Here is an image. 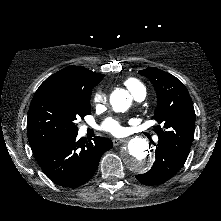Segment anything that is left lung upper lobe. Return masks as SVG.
Returning <instances> with one entry per match:
<instances>
[{
	"instance_id": "obj_1",
	"label": "left lung upper lobe",
	"mask_w": 221,
	"mask_h": 221,
	"mask_svg": "<svg viewBox=\"0 0 221 221\" xmlns=\"http://www.w3.org/2000/svg\"><path fill=\"white\" fill-rule=\"evenodd\" d=\"M139 73L152 82L157 93L154 119L162 126H155L158 143L164 144L182 161H186L195 126V111L186 87L173 75L154 67Z\"/></svg>"
}]
</instances>
